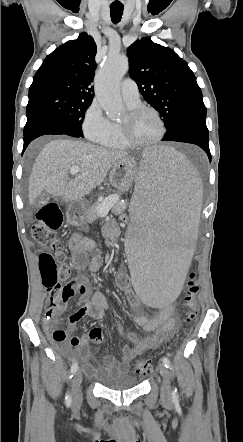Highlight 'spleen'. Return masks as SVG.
<instances>
[{
    "instance_id": "spleen-1",
    "label": "spleen",
    "mask_w": 243,
    "mask_h": 442,
    "mask_svg": "<svg viewBox=\"0 0 243 442\" xmlns=\"http://www.w3.org/2000/svg\"><path fill=\"white\" fill-rule=\"evenodd\" d=\"M132 183L131 239L125 258L134 296L146 307H169L181 293V280L193 258V231L199 226L203 178L186 157L164 146L141 147Z\"/></svg>"
}]
</instances>
